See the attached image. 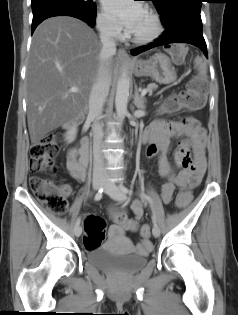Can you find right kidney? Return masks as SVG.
I'll return each instance as SVG.
<instances>
[{"label": "right kidney", "instance_id": "1", "mask_svg": "<svg viewBox=\"0 0 238 315\" xmlns=\"http://www.w3.org/2000/svg\"><path fill=\"white\" fill-rule=\"evenodd\" d=\"M77 134V128L73 127L66 132L65 138L68 142H73Z\"/></svg>", "mask_w": 238, "mask_h": 315}]
</instances>
